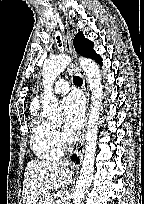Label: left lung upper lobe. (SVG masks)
Instances as JSON below:
<instances>
[{"instance_id":"1","label":"left lung upper lobe","mask_w":144,"mask_h":204,"mask_svg":"<svg viewBox=\"0 0 144 204\" xmlns=\"http://www.w3.org/2000/svg\"><path fill=\"white\" fill-rule=\"evenodd\" d=\"M73 44L75 47V51L82 56L90 57L94 60L100 57V55L96 54L93 50V43L90 40L86 39L82 32H79L75 36Z\"/></svg>"}]
</instances>
